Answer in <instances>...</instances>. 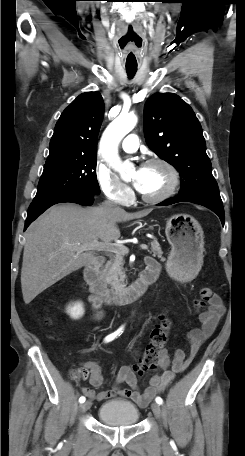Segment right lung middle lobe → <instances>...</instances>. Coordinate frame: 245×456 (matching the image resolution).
I'll use <instances>...</instances> for the list:
<instances>
[{
  "label": "right lung middle lobe",
  "mask_w": 245,
  "mask_h": 456,
  "mask_svg": "<svg viewBox=\"0 0 245 456\" xmlns=\"http://www.w3.org/2000/svg\"><path fill=\"white\" fill-rule=\"evenodd\" d=\"M96 157L81 156L46 163L33 202L68 194H99Z\"/></svg>",
  "instance_id": "1"
}]
</instances>
